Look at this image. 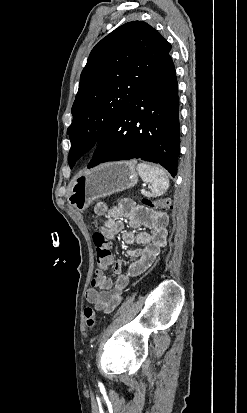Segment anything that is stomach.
<instances>
[{"label":"stomach","instance_id":"obj_1","mask_svg":"<svg viewBox=\"0 0 247 413\" xmlns=\"http://www.w3.org/2000/svg\"><path fill=\"white\" fill-rule=\"evenodd\" d=\"M138 174L134 160L103 162L74 176L67 200L74 209L84 211L95 198L134 186L138 182Z\"/></svg>","mask_w":247,"mask_h":413}]
</instances>
